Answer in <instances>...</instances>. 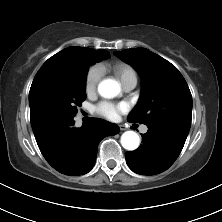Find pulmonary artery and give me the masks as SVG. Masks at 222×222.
Listing matches in <instances>:
<instances>
[{
	"mask_svg": "<svg viewBox=\"0 0 222 222\" xmlns=\"http://www.w3.org/2000/svg\"><path fill=\"white\" fill-rule=\"evenodd\" d=\"M122 86H123L124 91L129 92V91H131L132 89L135 88L136 82L130 81V82H127V83L123 84ZM147 130H148V128L146 126L141 127V132L142 133H146Z\"/></svg>",
	"mask_w": 222,
	"mask_h": 222,
	"instance_id": "e3ab8cb5",
	"label": "pulmonary artery"
}]
</instances>
